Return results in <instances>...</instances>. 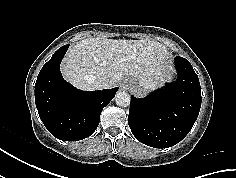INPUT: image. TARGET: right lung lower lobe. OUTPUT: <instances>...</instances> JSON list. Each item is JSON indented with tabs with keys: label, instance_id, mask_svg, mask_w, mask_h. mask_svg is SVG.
Instances as JSON below:
<instances>
[{
	"label": "right lung lower lobe",
	"instance_id": "right-lung-lower-lobe-1",
	"mask_svg": "<svg viewBox=\"0 0 236 178\" xmlns=\"http://www.w3.org/2000/svg\"><path fill=\"white\" fill-rule=\"evenodd\" d=\"M68 45L59 48L41 69L35 84V103L45 127L56 138L78 141L97 128L103 108L114 98L117 88L81 91L66 82L60 62Z\"/></svg>",
	"mask_w": 236,
	"mask_h": 178
}]
</instances>
